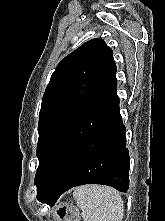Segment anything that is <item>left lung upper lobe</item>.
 Wrapping results in <instances>:
<instances>
[{
    "label": "left lung upper lobe",
    "instance_id": "1",
    "mask_svg": "<svg viewBox=\"0 0 165 221\" xmlns=\"http://www.w3.org/2000/svg\"><path fill=\"white\" fill-rule=\"evenodd\" d=\"M116 71L113 51L100 38L85 42L58 64L39 113L36 186L58 143L112 87Z\"/></svg>",
    "mask_w": 165,
    "mask_h": 221
}]
</instances>
